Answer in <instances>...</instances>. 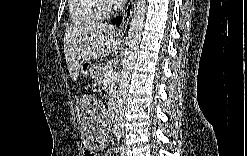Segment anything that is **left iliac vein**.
I'll list each match as a JSON object with an SVG mask.
<instances>
[{
    "label": "left iliac vein",
    "mask_w": 247,
    "mask_h": 156,
    "mask_svg": "<svg viewBox=\"0 0 247 156\" xmlns=\"http://www.w3.org/2000/svg\"><path fill=\"white\" fill-rule=\"evenodd\" d=\"M121 155L122 156L126 155V151H125V146L124 145L121 146Z\"/></svg>",
    "instance_id": "obj_1"
}]
</instances>
